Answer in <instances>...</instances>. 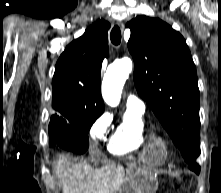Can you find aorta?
Returning <instances> with one entry per match:
<instances>
[{
  "label": "aorta",
  "mask_w": 221,
  "mask_h": 193,
  "mask_svg": "<svg viewBox=\"0 0 221 193\" xmlns=\"http://www.w3.org/2000/svg\"><path fill=\"white\" fill-rule=\"evenodd\" d=\"M130 58H122L113 62L107 69L102 81V96L111 107L119 105L123 85L132 71Z\"/></svg>",
  "instance_id": "1"
}]
</instances>
